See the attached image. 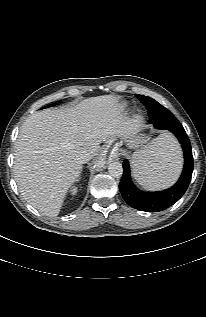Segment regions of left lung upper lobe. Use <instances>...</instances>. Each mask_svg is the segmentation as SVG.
I'll return each instance as SVG.
<instances>
[{"instance_id":"left-lung-upper-lobe-1","label":"left lung upper lobe","mask_w":206,"mask_h":317,"mask_svg":"<svg viewBox=\"0 0 206 317\" xmlns=\"http://www.w3.org/2000/svg\"><path fill=\"white\" fill-rule=\"evenodd\" d=\"M136 97L146 106L147 112L153 111L151 107H153L152 104H157L158 102L155 101L154 99L144 96V95H136ZM173 118L171 123H175V125H181L180 122L174 117V115H171ZM164 118H167L166 116L162 115H157V116H150V123L154 124L155 126H162V125H167L170 124L167 120H164Z\"/></svg>"}]
</instances>
